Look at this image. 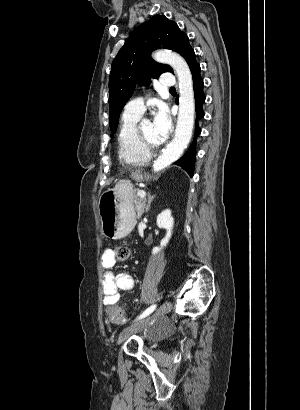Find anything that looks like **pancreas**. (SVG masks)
Instances as JSON below:
<instances>
[{"label": "pancreas", "mask_w": 300, "mask_h": 410, "mask_svg": "<svg viewBox=\"0 0 300 410\" xmlns=\"http://www.w3.org/2000/svg\"><path fill=\"white\" fill-rule=\"evenodd\" d=\"M133 202L135 204V210L137 213V217L140 218L144 212V200L142 198H138L134 196Z\"/></svg>", "instance_id": "1"}]
</instances>
